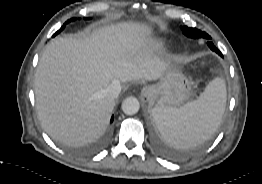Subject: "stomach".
<instances>
[{
  "instance_id": "1",
  "label": "stomach",
  "mask_w": 262,
  "mask_h": 184,
  "mask_svg": "<svg viewBox=\"0 0 262 184\" xmlns=\"http://www.w3.org/2000/svg\"><path fill=\"white\" fill-rule=\"evenodd\" d=\"M192 88V82L182 72L170 69L157 84L145 88L142 94L155 100L157 106L177 107L190 99Z\"/></svg>"
}]
</instances>
